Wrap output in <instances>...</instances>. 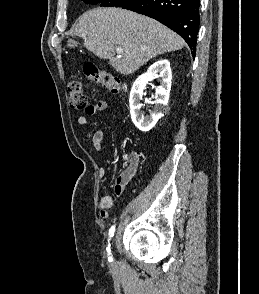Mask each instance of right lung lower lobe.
Returning a JSON list of instances; mask_svg holds the SVG:
<instances>
[{
	"label": "right lung lower lobe",
	"instance_id": "98d812e1",
	"mask_svg": "<svg viewBox=\"0 0 259 294\" xmlns=\"http://www.w3.org/2000/svg\"><path fill=\"white\" fill-rule=\"evenodd\" d=\"M199 5L200 0H129L121 7L152 17L178 33L194 57L200 24Z\"/></svg>",
	"mask_w": 259,
	"mask_h": 294
}]
</instances>
